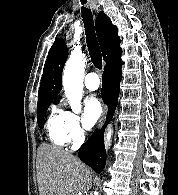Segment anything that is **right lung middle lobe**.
Wrapping results in <instances>:
<instances>
[{
    "mask_svg": "<svg viewBox=\"0 0 178 195\" xmlns=\"http://www.w3.org/2000/svg\"><path fill=\"white\" fill-rule=\"evenodd\" d=\"M51 102L52 101L37 105V123H38L40 128L44 127V117H45L46 111H47L49 105L51 104Z\"/></svg>",
    "mask_w": 178,
    "mask_h": 195,
    "instance_id": "right-lung-middle-lobe-1",
    "label": "right lung middle lobe"
}]
</instances>
